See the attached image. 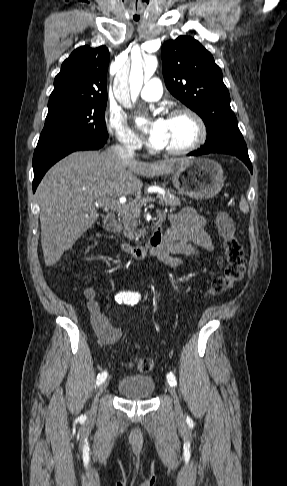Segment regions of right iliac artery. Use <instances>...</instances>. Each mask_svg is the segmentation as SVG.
Here are the masks:
<instances>
[{"label": "right iliac artery", "instance_id": "1", "mask_svg": "<svg viewBox=\"0 0 287 486\" xmlns=\"http://www.w3.org/2000/svg\"><path fill=\"white\" fill-rule=\"evenodd\" d=\"M134 298H138V300H139L140 295L138 293H134V292H119L115 296V300L118 303H122V302L127 303L128 300L134 299ZM106 378H107V372L104 371L101 374H99L97 376L96 386H100L105 381Z\"/></svg>", "mask_w": 287, "mask_h": 486}]
</instances>
